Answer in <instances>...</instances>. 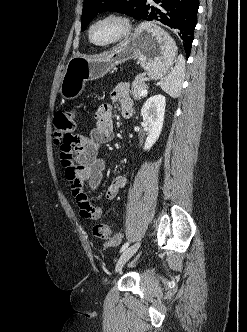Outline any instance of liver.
<instances>
[{
    "instance_id": "liver-1",
    "label": "liver",
    "mask_w": 247,
    "mask_h": 332,
    "mask_svg": "<svg viewBox=\"0 0 247 332\" xmlns=\"http://www.w3.org/2000/svg\"><path fill=\"white\" fill-rule=\"evenodd\" d=\"M86 58H91V57H86ZM93 58H96V57H93Z\"/></svg>"
}]
</instances>
